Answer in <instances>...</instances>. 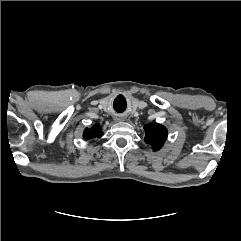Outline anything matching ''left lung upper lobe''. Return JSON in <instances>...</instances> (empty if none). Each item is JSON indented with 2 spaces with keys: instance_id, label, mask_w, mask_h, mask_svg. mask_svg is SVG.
Returning a JSON list of instances; mask_svg holds the SVG:
<instances>
[{
  "instance_id": "5c2ea615",
  "label": "left lung upper lobe",
  "mask_w": 241,
  "mask_h": 241,
  "mask_svg": "<svg viewBox=\"0 0 241 241\" xmlns=\"http://www.w3.org/2000/svg\"><path fill=\"white\" fill-rule=\"evenodd\" d=\"M145 142L153 147L154 151L159 150L167 139V129L158 124H148L144 126Z\"/></svg>"
}]
</instances>
